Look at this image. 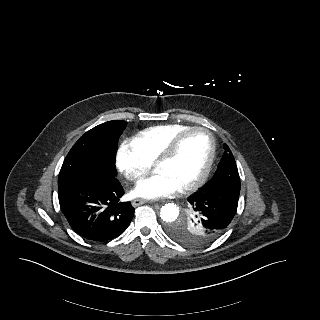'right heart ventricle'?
<instances>
[{
	"label": "right heart ventricle",
	"instance_id": "1",
	"mask_svg": "<svg viewBox=\"0 0 320 320\" xmlns=\"http://www.w3.org/2000/svg\"><path fill=\"white\" fill-rule=\"evenodd\" d=\"M189 126L184 124H165L147 128L139 132L134 142L148 162H153L180 132Z\"/></svg>",
	"mask_w": 320,
	"mask_h": 320
}]
</instances>
